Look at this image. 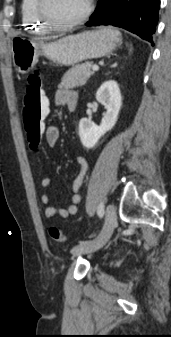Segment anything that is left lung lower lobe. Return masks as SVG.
Returning a JSON list of instances; mask_svg holds the SVG:
<instances>
[{
    "label": "left lung lower lobe",
    "mask_w": 171,
    "mask_h": 337,
    "mask_svg": "<svg viewBox=\"0 0 171 337\" xmlns=\"http://www.w3.org/2000/svg\"><path fill=\"white\" fill-rule=\"evenodd\" d=\"M159 7V0H99L86 25L121 27L152 42Z\"/></svg>",
    "instance_id": "0a47b994"
}]
</instances>
